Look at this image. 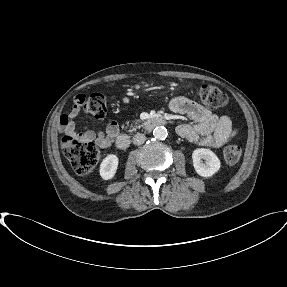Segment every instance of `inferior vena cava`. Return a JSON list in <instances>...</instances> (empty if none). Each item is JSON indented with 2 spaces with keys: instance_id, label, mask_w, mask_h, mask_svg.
I'll return each mask as SVG.
<instances>
[{
  "instance_id": "1",
  "label": "inferior vena cava",
  "mask_w": 287,
  "mask_h": 287,
  "mask_svg": "<svg viewBox=\"0 0 287 287\" xmlns=\"http://www.w3.org/2000/svg\"><path fill=\"white\" fill-rule=\"evenodd\" d=\"M146 140V136L142 133H137L136 135H134L133 137V144L134 145H141L145 142Z\"/></svg>"
}]
</instances>
